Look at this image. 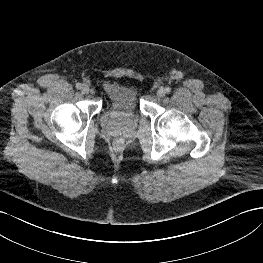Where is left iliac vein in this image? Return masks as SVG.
Returning <instances> with one entry per match:
<instances>
[{
	"label": "left iliac vein",
	"mask_w": 263,
	"mask_h": 263,
	"mask_svg": "<svg viewBox=\"0 0 263 263\" xmlns=\"http://www.w3.org/2000/svg\"><path fill=\"white\" fill-rule=\"evenodd\" d=\"M165 94H166V91H165V89H164L163 87H161V88L158 89V91H157V96H158L159 98H163V97L165 96Z\"/></svg>",
	"instance_id": "obj_1"
}]
</instances>
